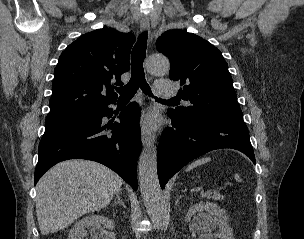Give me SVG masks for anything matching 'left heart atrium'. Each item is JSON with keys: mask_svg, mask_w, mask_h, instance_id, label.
<instances>
[{"mask_svg": "<svg viewBox=\"0 0 304 239\" xmlns=\"http://www.w3.org/2000/svg\"><path fill=\"white\" fill-rule=\"evenodd\" d=\"M143 127L147 130L153 129L157 125V118L153 114H148L142 121Z\"/></svg>", "mask_w": 304, "mask_h": 239, "instance_id": "39dd6f15", "label": "left heart atrium"}]
</instances>
